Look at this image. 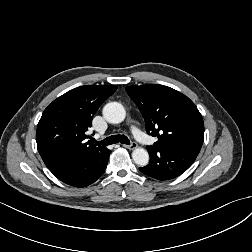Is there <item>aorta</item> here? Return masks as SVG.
Returning a JSON list of instances; mask_svg holds the SVG:
<instances>
[{
	"mask_svg": "<svg viewBox=\"0 0 252 252\" xmlns=\"http://www.w3.org/2000/svg\"><path fill=\"white\" fill-rule=\"evenodd\" d=\"M104 118L113 124L121 123L126 117V111L118 102L107 103L103 108ZM132 159L138 166H146L149 162V154L144 148H136L132 152Z\"/></svg>",
	"mask_w": 252,
	"mask_h": 252,
	"instance_id": "1",
	"label": "aorta"
}]
</instances>
